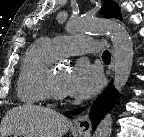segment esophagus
I'll return each instance as SVG.
<instances>
[{"label":"esophagus","instance_id":"obj_1","mask_svg":"<svg viewBox=\"0 0 144 137\" xmlns=\"http://www.w3.org/2000/svg\"><path fill=\"white\" fill-rule=\"evenodd\" d=\"M113 67H114V58L112 59L111 70H113ZM73 126H74V128H76L84 133L90 132L92 129V124H91V120H90L89 111L86 112L85 114H82V115H79L78 117H76L73 121Z\"/></svg>","mask_w":144,"mask_h":137}]
</instances>
